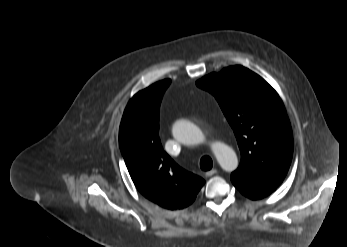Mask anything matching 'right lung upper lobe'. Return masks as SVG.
Returning <instances> with one entry per match:
<instances>
[{
    "label": "right lung upper lobe",
    "instance_id": "cb5924a9",
    "mask_svg": "<svg viewBox=\"0 0 347 247\" xmlns=\"http://www.w3.org/2000/svg\"><path fill=\"white\" fill-rule=\"evenodd\" d=\"M169 84L168 79L156 82L132 97L122 117L119 145L139 192L174 210L190 205L205 181L179 167L161 146L159 107Z\"/></svg>",
    "mask_w": 347,
    "mask_h": 247
}]
</instances>
